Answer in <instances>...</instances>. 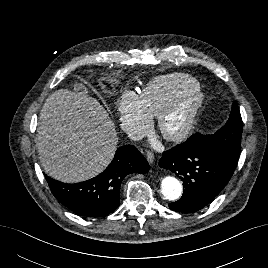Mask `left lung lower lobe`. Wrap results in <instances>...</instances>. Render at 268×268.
<instances>
[{
	"mask_svg": "<svg viewBox=\"0 0 268 268\" xmlns=\"http://www.w3.org/2000/svg\"><path fill=\"white\" fill-rule=\"evenodd\" d=\"M191 136L184 143L163 153L159 166L174 172L182 181V197L169 204L183 213L196 212L208 205L226 186L239 157L195 145Z\"/></svg>",
	"mask_w": 268,
	"mask_h": 268,
	"instance_id": "obj_1",
	"label": "left lung lower lobe"
}]
</instances>
